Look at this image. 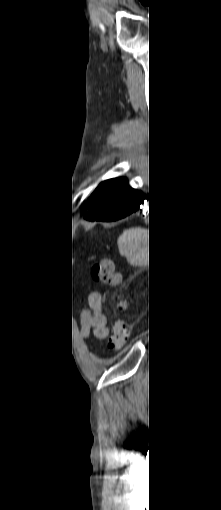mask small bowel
<instances>
[{
    "mask_svg": "<svg viewBox=\"0 0 221 510\" xmlns=\"http://www.w3.org/2000/svg\"><path fill=\"white\" fill-rule=\"evenodd\" d=\"M89 309L82 315L81 332L84 337L92 330L99 339H105L109 334L106 316L102 313V296L99 292H92L88 298Z\"/></svg>",
    "mask_w": 221,
    "mask_h": 510,
    "instance_id": "c3829d8e",
    "label": "small bowel"
}]
</instances>
